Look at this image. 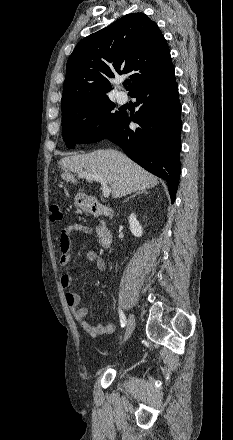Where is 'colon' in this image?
Instances as JSON below:
<instances>
[{"label":"colon","instance_id":"obj_1","mask_svg":"<svg viewBox=\"0 0 233 440\" xmlns=\"http://www.w3.org/2000/svg\"><path fill=\"white\" fill-rule=\"evenodd\" d=\"M50 218L53 222H61L63 220V213L59 204H52L50 206Z\"/></svg>","mask_w":233,"mask_h":440}]
</instances>
